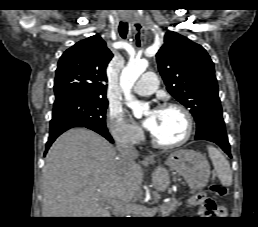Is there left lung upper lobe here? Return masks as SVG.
<instances>
[{
	"mask_svg": "<svg viewBox=\"0 0 258 227\" xmlns=\"http://www.w3.org/2000/svg\"><path fill=\"white\" fill-rule=\"evenodd\" d=\"M156 58L169 93L190 108L197 125L196 136L212 128L225 129L214 64L206 50L169 31Z\"/></svg>",
	"mask_w": 258,
	"mask_h": 227,
	"instance_id": "1",
	"label": "left lung upper lobe"
}]
</instances>
